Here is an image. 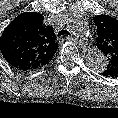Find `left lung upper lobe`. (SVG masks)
Wrapping results in <instances>:
<instances>
[{"label": "left lung upper lobe", "mask_w": 118, "mask_h": 118, "mask_svg": "<svg viewBox=\"0 0 118 118\" xmlns=\"http://www.w3.org/2000/svg\"><path fill=\"white\" fill-rule=\"evenodd\" d=\"M97 26V47L106 56L107 66L102 75L118 76V20L108 15L93 17Z\"/></svg>", "instance_id": "5c2ea615"}]
</instances>
